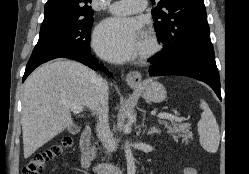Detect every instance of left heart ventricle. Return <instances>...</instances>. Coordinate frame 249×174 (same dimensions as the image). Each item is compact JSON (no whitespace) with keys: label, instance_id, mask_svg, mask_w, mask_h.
<instances>
[{"label":"left heart ventricle","instance_id":"obj_1","mask_svg":"<svg viewBox=\"0 0 249 174\" xmlns=\"http://www.w3.org/2000/svg\"><path fill=\"white\" fill-rule=\"evenodd\" d=\"M145 42V36L141 38V47L144 45Z\"/></svg>","mask_w":249,"mask_h":174}]
</instances>
